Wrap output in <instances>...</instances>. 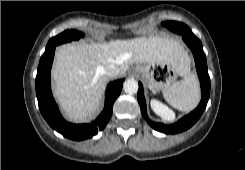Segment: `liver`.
<instances>
[{
  "instance_id": "6515ba94",
  "label": "liver",
  "mask_w": 245,
  "mask_h": 170,
  "mask_svg": "<svg viewBox=\"0 0 245 170\" xmlns=\"http://www.w3.org/2000/svg\"><path fill=\"white\" fill-rule=\"evenodd\" d=\"M151 63H171L180 76L190 71L183 46L167 36L66 44L55 54L54 95L70 121L84 122L100 107L109 80L106 67L115 65L122 76L132 64Z\"/></svg>"
}]
</instances>
